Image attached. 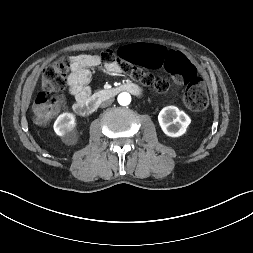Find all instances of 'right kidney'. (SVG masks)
<instances>
[{"instance_id": "obj_1", "label": "right kidney", "mask_w": 253, "mask_h": 253, "mask_svg": "<svg viewBox=\"0 0 253 253\" xmlns=\"http://www.w3.org/2000/svg\"><path fill=\"white\" fill-rule=\"evenodd\" d=\"M75 127V116L72 113H63L59 115L54 123L55 133L62 137L67 144H74L77 141L74 132Z\"/></svg>"}]
</instances>
